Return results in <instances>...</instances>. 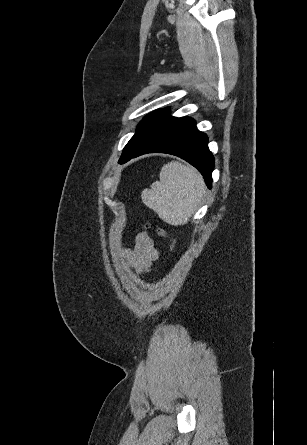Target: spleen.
Wrapping results in <instances>:
<instances>
[{
	"label": "spleen",
	"mask_w": 307,
	"mask_h": 445,
	"mask_svg": "<svg viewBox=\"0 0 307 445\" xmlns=\"http://www.w3.org/2000/svg\"><path fill=\"white\" fill-rule=\"evenodd\" d=\"M159 178L142 190V202L168 225H186L202 202L205 184L201 174L193 166L171 160L162 166Z\"/></svg>",
	"instance_id": "spleen-1"
}]
</instances>
